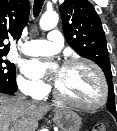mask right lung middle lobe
Returning <instances> with one entry per match:
<instances>
[{"instance_id": "dd1d6c3e", "label": "right lung middle lobe", "mask_w": 117, "mask_h": 131, "mask_svg": "<svg viewBox=\"0 0 117 131\" xmlns=\"http://www.w3.org/2000/svg\"><path fill=\"white\" fill-rule=\"evenodd\" d=\"M7 53L0 52V88L16 92L18 86L16 84L15 66L8 60L3 59V56Z\"/></svg>"}]
</instances>
